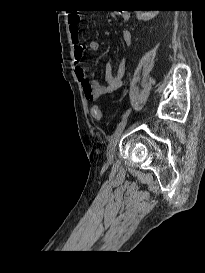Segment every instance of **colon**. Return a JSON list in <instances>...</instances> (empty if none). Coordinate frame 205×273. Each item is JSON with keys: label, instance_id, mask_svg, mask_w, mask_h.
<instances>
[{"label": "colon", "instance_id": "1", "mask_svg": "<svg viewBox=\"0 0 205 273\" xmlns=\"http://www.w3.org/2000/svg\"><path fill=\"white\" fill-rule=\"evenodd\" d=\"M91 115L95 120L99 121L102 118V112H101L100 107L97 105L92 106L91 107Z\"/></svg>", "mask_w": 205, "mask_h": 273}]
</instances>
